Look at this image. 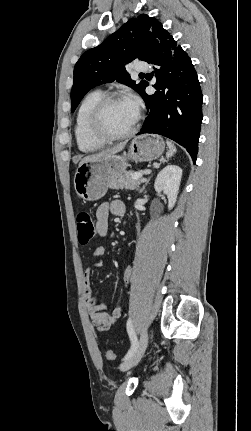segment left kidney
<instances>
[{
  "label": "left kidney",
  "mask_w": 251,
  "mask_h": 431,
  "mask_svg": "<svg viewBox=\"0 0 251 431\" xmlns=\"http://www.w3.org/2000/svg\"><path fill=\"white\" fill-rule=\"evenodd\" d=\"M181 177L182 169L179 166L167 165L159 172L155 180V190L158 193L163 192L168 197L169 210H171L176 203Z\"/></svg>",
  "instance_id": "left-kidney-1"
}]
</instances>
